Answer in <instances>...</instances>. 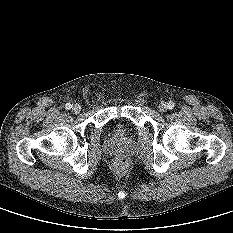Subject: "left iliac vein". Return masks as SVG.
Instances as JSON below:
<instances>
[{
	"label": "left iliac vein",
	"mask_w": 233,
	"mask_h": 233,
	"mask_svg": "<svg viewBox=\"0 0 233 233\" xmlns=\"http://www.w3.org/2000/svg\"><path fill=\"white\" fill-rule=\"evenodd\" d=\"M158 108H159L160 112H166L167 109H168L166 102H161V103L159 104V107H158Z\"/></svg>",
	"instance_id": "obj_1"
}]
</instances>
